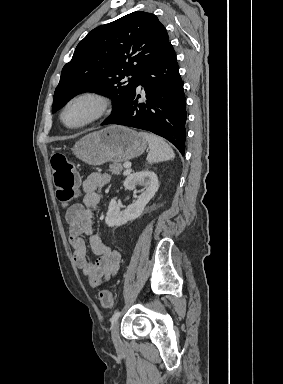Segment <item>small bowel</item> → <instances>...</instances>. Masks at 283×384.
I'll return each mask as SVG.
<instances>
[{"mask_svg": "<svg viewBox=\"0 0 283 384\" xmlns=\"http://www.w3.org/2000/svg\"><path fill=\"white\" fill-rule=\"evenodd\" d=\"M110 181L106 173L95 172L82 182L83 203L73 204L66 212L68 238L74 250L75 265L80 269L92 287H98L109 280L118 270L121 254L106 245L95 232L93 211L100 201V192ZM97 256L95 261L88 258V247Z\"/></svg>", "mask_w": 283, "mask_h": 384, "instance_id": "c3829d8e", "label": "small bowel"}]
</instances>
